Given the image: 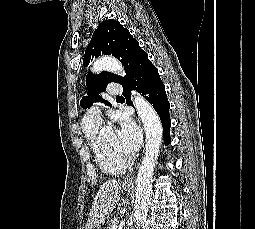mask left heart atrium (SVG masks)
Wrapping results in <instances>:
<instances>
[{"instance_id":"obj_1","label":"left heart atrium","mask_w":255,"mask_h":229,"mask_svg":"<svg viewBox=\"0 0 255 229\" xmlns=\"http://www.w3.org/2000/svg\"><path fill=\"white\" fill-rule=\"evenodd\" d=\"M118 140L126 154H134L141 143V132L138 126L128 118H121L118 126Z\"/></svg>"}]
</instances>
